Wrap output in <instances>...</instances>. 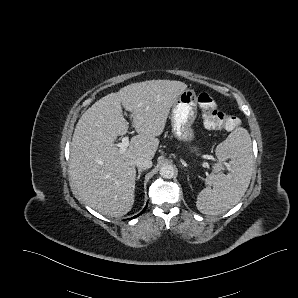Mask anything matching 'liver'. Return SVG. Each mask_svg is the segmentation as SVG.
<instances>
[{
  "label": "liver",
  "mask_w": 298,
  "mask_h": 298,
  "mask_svg": "<svg viewBox=\"0 0 298 298\" xmlns=\"http://www.w3.org/2000/svg\"><path fill=\"white\" fill-rule=\"evenodd\" d=\"M188 88L179 80L136 82L112 92L88 108L78 120L71 142L70 175L91 208L103 215L120 217L134 203L135 160L153 159L173 104ZM122 107L132 113L138 133L121 154L114 143L128 132Z\"/></svg>",
  "instance_id": "6515ba94"
}]
</instances>
